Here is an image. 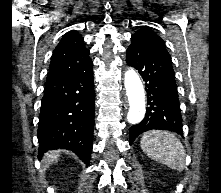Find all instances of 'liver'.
<instances>
[{
    "label": "liver",
    "mask_w": 221,
    "mask_h": 193,
    "mask_svg": "<svg viewBox=\"0 0 221 193\" xmlns=\"http://www.w3.org/2000/svg\"><path fill=\"white\" fill-rule=\"evenodd\" d=\"M61 150L50 151L43 157V169L46 170L50 164L56 162L60 157Z\"/></svg>",
    "instance_id": "liver-1"
}]
</instances>
